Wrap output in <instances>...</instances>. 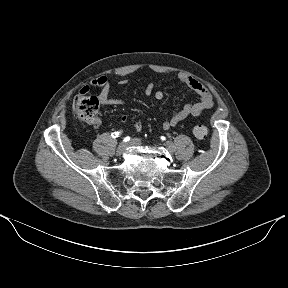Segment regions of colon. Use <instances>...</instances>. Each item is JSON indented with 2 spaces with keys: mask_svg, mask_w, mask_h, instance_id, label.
Returning a JSON list of instances; mask_svg holds the SVG:
<instances>
[{
  "mask_svg": "<svg viewBox=\"0 0 288 288\" xmlns=\"http://www.w3.org/2000/svg\"><path fill=\"white\" fill-rule=\"evenodd\" d=\"M72 109L82 121L88 124H95L98 120V101L94 96L87 94L76 96L72 103ZM192 133L196 138L203 139L208 135V129L203 125H195Z\"/></svg>",
  "mask_w": 288,
  "mask_h": 288,
  "instance_id": "obj_1",
  "label": "colon"
}]
</instances>
